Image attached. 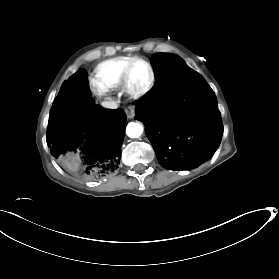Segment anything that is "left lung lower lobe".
<instances>
[{
    "instance_id": "1",
    "label": "left lung lower lobe",
    "mask_w": 279,
    "mask_h": 279,
    "mask_svg": "<svg viewBox=\"0 0 279 279\" xmlns=\"http://www.w3.org/2000/svg\"><path fill=\"white\" fill-rule=\"evenodd\" d=\"M137 116L159 163L168 170H189L219 147L223 126L215 95L204 78L187 75L171 93L134 102Z\"/></svg>"
}]
</instances>
